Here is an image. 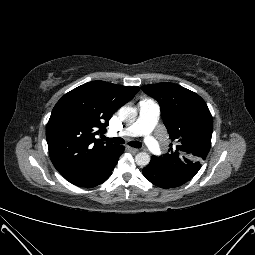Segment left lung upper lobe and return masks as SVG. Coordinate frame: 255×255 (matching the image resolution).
Masks as SVG:
<instances>
[{
    "label": "left lung upper lobe",
    "mask_w": 255,
    "mask_h": 255,
    "mask_svg": "<svg viewBox=\"0 0 255 255\" xmlns=\"http://www.w3.org/2000/svg\"><path fill=\"white\" fill-rule=\"evenodd\" d=\"M141 89L155 98L169 130V153L152 156L150 163L179 178L191 179L201 168L211 146L212 115L196 93L174 83L145 85Z\"/></svg>",
    "instance_id": "obj_1"
}]
</instances>
